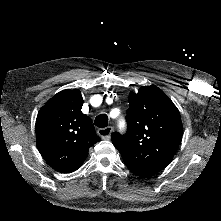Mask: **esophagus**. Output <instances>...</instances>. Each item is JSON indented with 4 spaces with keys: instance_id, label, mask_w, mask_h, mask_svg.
Segmentation results:
<instances>
[{
    "instance_id": "1",
    "label": "esophagus",
    "mask_w": 221,
    "mask_h": 221,
    "mask_svg": "<svg viewBox=\"0 0 221 221\" xmlns=\"http://www.w3.org/2000/svg\"><path fill=\"white\" fill-rule=\"evenodd\" d=\"M112 130L113 128L111 126H108L106 128L98 129L97 133L103 140H109L111 138Z\"/></svg>"
}]
</instances>
